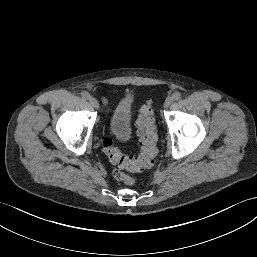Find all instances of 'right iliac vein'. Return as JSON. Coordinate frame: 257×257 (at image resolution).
Returning <instances> with one entry per match:
<instances>
[{
	"instance_id": "63e3f726",
	"label": "right iliac vein",
	"mask_w": 257,
	"mask_h": 257,
	"mask_svg": "<svg viewBox=\"0 0 257 257\" xmlns=\"http://www.w3.org/2000/svg\"><path fill=\"white\" fill-rule=\"evenodd\" d=\"M90 103H91V105L94 107V108H96V109H98L99 108V103H98V101H97V99L96 98H94V97H90Z\"/></svg>"
}]
</instances>
